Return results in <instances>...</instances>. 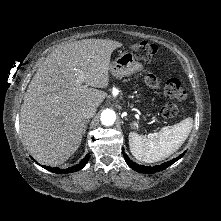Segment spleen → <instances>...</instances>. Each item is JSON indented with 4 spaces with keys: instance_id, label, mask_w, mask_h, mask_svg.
Returning <instances> with one entry per match:
<instances>
[{
    "instance_id": "1",
    "label": "spleen",
    "mask_w": 221,
    "mask_h": 221,
    "mask_svg": "<svg viewBox=\"0 0 221 221\" xmlns=\"http://www.w3.org/2000/svg\"><path fill=\"white\" fill-rule=\"evenodd\" d=\"M192 127L193 119L189 117L148 136L130 132L128 138L130 151L139 161L146 163L161 161L182 146Z\"/></svg>"
}]
</instances>
